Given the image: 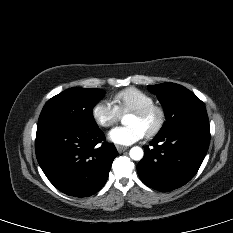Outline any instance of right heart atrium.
Wrapping results in <instances>:
<instances>
[{
  "label": "right heart atrium",
  "mask_w": 233,
  "mask_h": 233,
  "mask_svg": "<svg viewBox=\"0 0 233 233\" xmlns=\"http://www.w3.org/2000/svg\"><path fill=\"white\" fill-rule=\"evenodd\" d=\"M92 117L96 124L101 127H111L119 120L120 113L117 108L109 101H98L92 108Z\"/></svg>",
  "instance_id": "1"
}]
</instances>
